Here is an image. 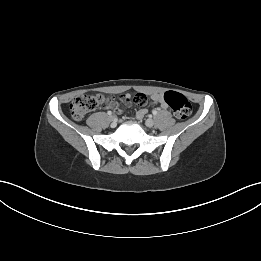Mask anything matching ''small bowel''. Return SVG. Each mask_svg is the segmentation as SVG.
Masks as SVG:
<instances>
[{"label": "small bowel", "instance_id": "obj_1", "mask_svg": "<svg viewBox=\"0 0 261 261\" xmlns=\"http://www.w3.org/2000/svg\"><path fill=\"white\" fill-rule=\"evenodd\" d=\"M119 99L124 102L127 106H130L131 104L133 105H150L151 102L159 104V106L162 109H168V104L165 102L163 98V94L160 93H153L151 94L150 98H147V96L142 92L139 91L137 92L134 97H131V95L128 92H123L120 96ZM119 99L116 96L110 97L107 101H105L102 104V107L105 110H108L110 107L115 110V113L118 116H121L124 113V110L119 107L120 102ZM142 101V102H138ZM146 113V109L142 108L137 112V116L139 118L143 117Z\"/></svg>", "mask_w": 261, "mask_h": 261}]
</instances>
